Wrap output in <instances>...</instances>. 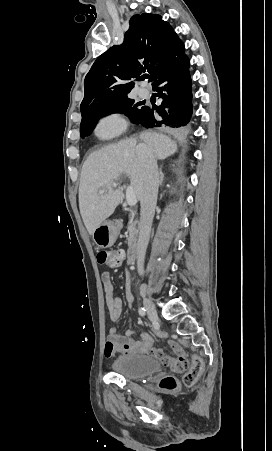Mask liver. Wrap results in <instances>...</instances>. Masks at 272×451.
Listing matches in <instances>:
<instances>
[{
  "label": "liver",
  "instance_id": "obj_1",
  "mask_svg": "<svg viewBox=\"0 0 272 451\" xmlns=\"http://www.w3.org/2000/svg\"><path fill=\"white\" fill-rule=\"evenodd\" d=\"M139 140H143L157 160H165L177 152L175 142L163 134L142 132ZM121 174H129L136 198L140 200L144 168L138 156L137 138H126L93 152L82 166L79 208L82 220L91 235L120 204L122 188L114 190L112 186ZM99 190H105L104 194H99Z\"/></svg>",
  "mask_w": 272,
  "mask_h": 451
}]
</instances>
